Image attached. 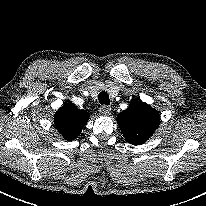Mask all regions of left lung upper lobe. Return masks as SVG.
I'll return each mask as SVG.
<instances>
[{"label": "left lung upper lobe", "instance_id": "left-lung-upper-lobe-1", "mask_svg": "<svg viewBox=\"0 0 206 206\" xmlns=\"http://www.w3.org/2000/svg\"><path fill=\"white\" fill-rule=\"evenodd\" d=\"M117 123L129 143L140 145L158 128L160 117L148 104L134 100L126 110L118 114Z\"/></svg>", "mask_w": 206, "mask_h": 206}]
</instances>
